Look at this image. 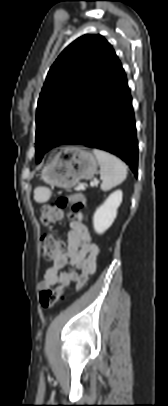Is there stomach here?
<instances>
[{
  "instance_id": "0dacf381",
  "label": "stomach",
  "mask_w": 168,
  "mask_h": 406,
  "mask_svg": "<svg viewBox=\"0 0 168 406\" xmlns=\"http://www.w3.org/2000/svg\"><path fill=\"white\" fill-rule=\"evenodd\" d=\"M95 156L79 147H65L46 164L41 179L51 186L74 187L81 179L89 180L97 173Z\"/></svg>"
}]
</instances>
